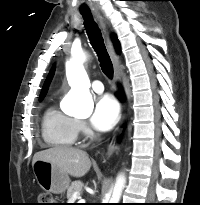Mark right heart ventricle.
<instances>
[{"label": "right heart ventricle", "instance_id": "right-heart-ventricle-1", "mask_svg": "<svg viewBox=\"0 0 200 205\" xmlns=\"http://www.w3.org/2000/svg\"><path fill=\"white\" fill-rule=\"evenodd\" d=\"M41 132L44 142L51 147H72L77 139V121L63 113L55 105L44 111L41 121Z\"/></svg>", "mask_w": 200, "mask_h": 205}]
</instances>
